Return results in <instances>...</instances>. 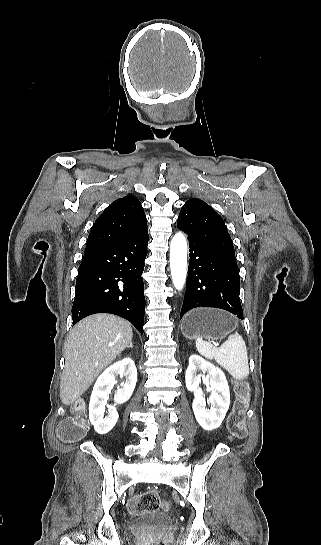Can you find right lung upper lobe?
I'll return each instance as SVG.
<instances>
[{
  "label": "right lung upper lobe",
  "mask_w": 321,
  "mask_h": 545,
  "mask_svg": "<svg viewBox=\"0 0 321 545\" xmlns=\"http://www.w3.org/2000/svg\"><path fill=\"white\" fill-rule=\"evenodd\" d=\"M146 228L147 220L139 200L132 195L119 198L95 221L85 251L124 241Z\"/></svg>",
  "instance_id": "right-lung-upper-lobe-1"
}]
</instances>
